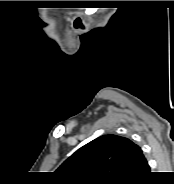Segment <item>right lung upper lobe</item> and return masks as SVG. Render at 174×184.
<instances>
[{"label": "right lung upper lobe", "instance_id": "obj_1", "mask_svg": "<svg viewBox=\"0 0 174 184\" xmlns=\"http://www.w3.org/2000/svg\"><path fill=\"white\" fill-rule=\"evenodd\" d=\"M147 166L142 150L131 140L103 135L77 150L55 172L69 184H115L129 181Z\"/></svg>", "mask_w": 174, "mask_h": 184}]
</instances>
